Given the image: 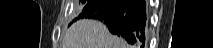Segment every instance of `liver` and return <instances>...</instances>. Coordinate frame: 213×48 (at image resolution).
I'll return each mask as SVG.
<instances>
[{"instance_id":"obj_1","label":"liver","mask_w":213,"mask_h":48,"mask_svg":"<svg viewBox=\"0 0 213 48\" xmlns=\"http://www.w3.org/2000/svg\"><path fill=\"white\" fill-rule=\"evenodd\" d=\"M62 48H129V45L112 35L106 25L96 20L82 19L66 31Z\"/></svg>"}]
</instances>
